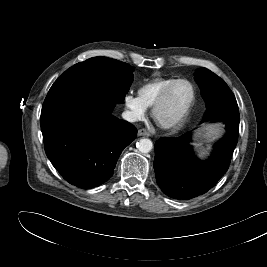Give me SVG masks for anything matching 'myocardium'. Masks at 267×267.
<instances>
[{
  "label": "myocardium",
  "mask_w": 267,
  "mask_h": 267,
  "mask_svg": "<svg viewBox=\"0 0 267 267\" xmlns=\"http://www.w3.org/2000/svg\"><path fill=\"white\" fill-rule=\"evenodd\" d=\"M180 83H187L192 90V97L191 100L189 102V104L187 105V107L185 108V110L183 111V113L176 118L173 121L170 122H161L158 119V111L160 109V107L165 103V101L167 100L168 96L170 95L171 91L174 89L175 86H177ZM196 99V91H195V87L193 85V83L187 79H177L174 82L170 83L168 86H166L162 92L159 94V96L156 98V100L154 101L153 105H152V109H151V114L153 119L155 120V122L162 128L167 129V130H175L180 128L186 121L193 105Z\"/></svg>",
  "instance_id": "myocardium-1"
}]
</instances>
